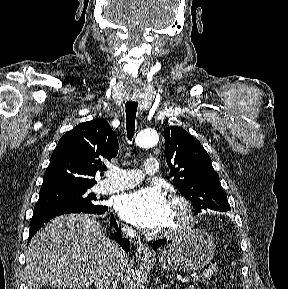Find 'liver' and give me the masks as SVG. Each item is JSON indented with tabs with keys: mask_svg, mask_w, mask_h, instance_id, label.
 <instances>
[{
	"mask_svg": "<svg viewBox=\"0 0 288 289\" xmlns=\"http://www.w3.org/2000/svg\"><path fill=\"white\" fill-rule=\"evenodd\" d=\"M111 246L93 215L65 214L51 220L29 243L25 267L28 289L46 285L89 289L108 262ZM126 266L124 260L122 273Z\"/></svg>",
	"mask_w": 288,
	"mask_h": 289,
	"instance_id": "6515ba94",
	"label": "liver"
}]
</instances>
